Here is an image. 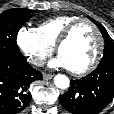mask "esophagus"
<instances>
[{
    "label": "esophagus",
    "instance_id": "obj_1",
    "mask_svg": "<svg viewBox=\"0 0 114 114\" xmlns=\"http://www.w3.org/2000/svg\"><path fill=\"white\" fill-rule=\"evenodd\" d=\"M43 78L45 80H49V79H52L53 78V75L52 74H48V73H43Z\"/></svg>",
    "mask_w": 114,
    "mask_h": 114
}]
</instances>
